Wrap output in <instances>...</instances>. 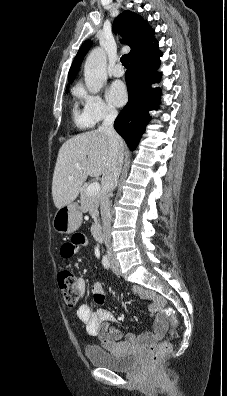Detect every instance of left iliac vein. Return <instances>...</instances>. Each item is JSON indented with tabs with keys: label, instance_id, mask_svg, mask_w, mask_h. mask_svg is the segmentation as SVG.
<instances>
[{
	"label": "left iliac vein",
	"instance_id": "4c4485c4",
	"mask_svg": "<svg viewBox=\"0 0 227 396\" xmlns=\"http://www.w3.org/2000/svg\"><path fill=\"white\" fill-rule=\"evenodd\" d=\"M111 267H112L113 272L116 275H120L121 274V269H120L119 263L114 258L111 259Z\"/></svg>",
	"mask_w": 227,
	"mask_h": 396
}]
</instances>
